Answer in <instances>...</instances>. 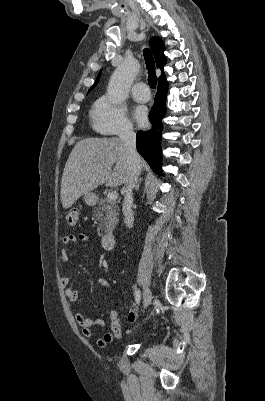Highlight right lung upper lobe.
<instances>
[{"label": "right lung upper lobe", "instance_id": "cb5924a9", "mask_svg": "<svg viewBox=\"0 0 265 401\" xmlns=\"http://www.w3.org/2000/svg\"><path fill=\"white\" fill-rule=\"evenodd\" d=\"M150 47L153 51V54H154V57L156 60V65H157V67H160L161 71H162L161 76L159 77L158 84H162V83L167 84L166 77H165V74L163 71V66L166 64V57L163 53L165 50L164 43L159 37H153L150 40ZM100 75H101V71L99 72L97 79L91 89H93L96 86V84L98 83V81L100 79Z\"/></svg>", "mask_w": 265, "mask_h": 401}]
</instances>
